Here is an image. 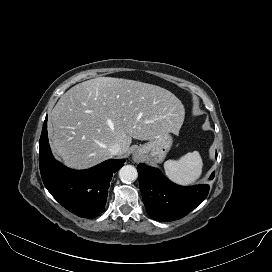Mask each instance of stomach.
Here are the masks:
<instances>
[{
	"instance_id": "stomach-1",
	"label": "stomach",
	"mask_w": 272,
	"mask_h": 272,
	"mask_svg": "<svg viewBox=\"0 0 272 272\" xmlns=\"http://www.w3.org/2000/svg\"><path fill=\"white\" fill-rule=\"evenodd\" d=\"M173 143L170 132L158 135L149 142L140 145L134 155H141L151 163H161L169 152Z\"/></svg>"
}]
</instances>
